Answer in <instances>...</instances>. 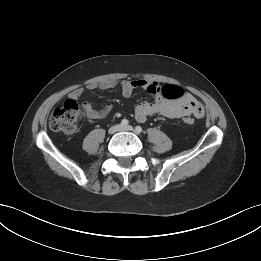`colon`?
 <instances>
[{"label":"colon","mask_w":261,"mask_h":261,"mask_svg":"<svg viewBox=\"0 0 261 261\" xmlns=\"http://www.w3.org/2000/svg\"><path fill=\"white\" fill-rule=\"evenodd\" d=\"M163 95L169 100H178L184 95L183 90L174 85L163 87ZM81 117V108L74 100H67L62 106L54 109L50 116L49 125L54 131H60L65 134H75L79 129V119ZM187 124L193 123L191 116L183 118Z\"/></svg>","instance_id":"obj_1"}]
</instances>
